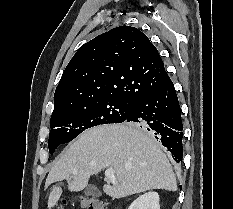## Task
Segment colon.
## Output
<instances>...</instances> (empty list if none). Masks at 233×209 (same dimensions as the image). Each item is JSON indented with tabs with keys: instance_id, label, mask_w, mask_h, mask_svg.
<instances>
[{
	"instance_id": "obj_1",
	"label": "colon",
	"mask_w": 233,
	"mask_h": 209,
	"mask_svg": "<svg viewBox=\"0 0 233 209\" xmlns=\"http://www.w3.org/2000/svg\"><path fill=\"white\" fill-rule=\"evenodd\" d=\"M80 207L82 209H107L106 203L98 201L96 199H80Z\"/></svg>"
}]
</instances>
